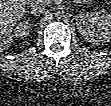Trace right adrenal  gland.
<instances>
[{"label": "right adrenal gland", "mask_w": 111, "mask_h": 106, "mask_svg": "<svg viewBox=\"0 0 111 106\" xmlns=\"http://www.w3.org/2000/svg\"><path fill=\"white\" fill-rule=\"evenodd\" d=\"M29 14H32L33 16H37V14H34L33 12H28Z\"/></svg>", "instance_id": "right-adrenal-gland-1"}]
</instances>
